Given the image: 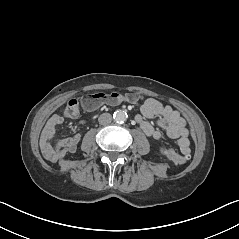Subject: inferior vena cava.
Instances as JSON below:
<instances>
[{
    "label": "inferior vena cava",
    "mask_w": 239,
    "mask_h": 239,
    "mask_svg": "<svg viewBox=\"0 0 239 239\" xmlns=\"http://www.w3.org/2000/svg\"><path fill=\"white\" fill-rule=\"evenodd\" d=\"M98 121L101 125H109L112 122V116L109 113H103L99 116Z\"/></svg>",
    "instance_id": "inferior-vena-cava-1"
}]
</instances>
